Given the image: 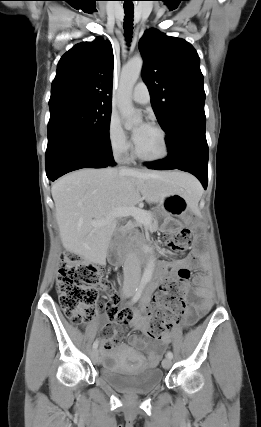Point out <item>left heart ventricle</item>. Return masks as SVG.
<instances>
[{
    "mask_svg": "<svg viewBox=\"0 0 261 427\" xmlns=\"http://www.w3.org/2000/svg\"><path fill=\"white\" fill-rule=\"evenodd\" d=\"M136 149L139 154L145 157L159 156L163 152L160 134L152 127H149L136 144Z\"/></svg>",
    "mask_w": 261,
    "mask_h": 427,
    "instance_id": "left-heart-ventricle-1",
    "label": "left heart ventricle"
}]
</instances>
